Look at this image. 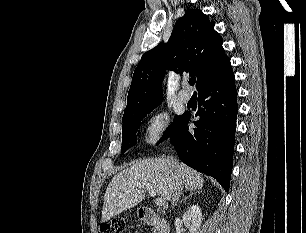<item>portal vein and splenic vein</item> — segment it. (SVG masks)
Wrapping results in <instances>:
<instances>
[{
  "label": "portal vein and splenic vein",
  "mask_w": 306,
  "mask_h": 233,
  "mask_svg": "<svg viewBox=\"0 0 306 233\" xmlns=\"http://www.w3.org/2000/svg\"><path fill=\"white\" fill-rule=\"evenodd\" d=\"M137 187L146 189L147 192H148L151 196H155V195H156L155 189H154L151 185H149V184H139V185H137ZM165 203H166V201H165V199L162 198V197L156 199V204H157L158 206H164Z\"/></svg>",
  "instance_id": "18ae733b"
}]
</instances>
